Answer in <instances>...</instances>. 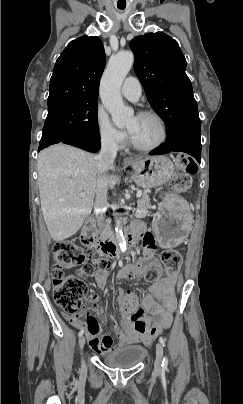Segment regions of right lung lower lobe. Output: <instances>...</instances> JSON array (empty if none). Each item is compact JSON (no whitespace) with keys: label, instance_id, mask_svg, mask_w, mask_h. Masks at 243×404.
Segmentation results:
<instances>
[{"label":"right lung lower lobe","instance_id":"right-lung-lower-lobe-1","mask_svg":"<svg viewBox=\"0 0 243 404\" xmlns=\"http://www.w3.org/2000/svg\"><path fill=\"white\" fill-rule=\"evenodd\" d=\"M61 142L76 146L89 152H97L101 147L100 138L83 135H69L63 138Z\"/></svg>","mask_w":243,"mask_h":404}]
</instances>
